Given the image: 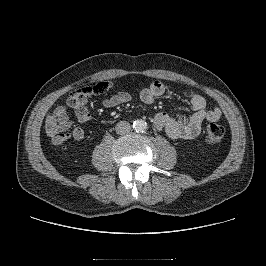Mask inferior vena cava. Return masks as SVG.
I'll return each instance as SVG.
<instances>
[{"instance_id": "1", "label": "inferior vena cava", "mask_w": 266, "mask_h": 266, "mask_svg": "<svg viewBox=\"0 0 266 266\" xmlns=\"http://www.w3.org/2000/svg\"><path fill=\"white\" fill-rule=\"evenodd\" d=\"M115 129L118 134L123 135L130 132L131 126L130 123L127 121H120L117 123Z\"/></svg>"}]
</instances>
